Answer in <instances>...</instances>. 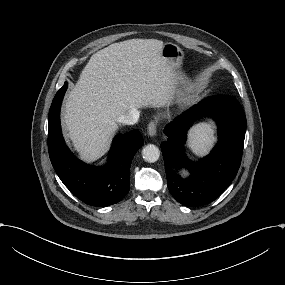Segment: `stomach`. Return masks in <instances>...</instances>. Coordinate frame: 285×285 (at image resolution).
Segmentation results:
<instances>
[{
	"mask_svg": "<svg viewBox=\"0 0 285 285\" xmlns=\"http://www.w3.org/2000/svg\"><path fill=\"white\" fill-rule=\"evenodd\" d=\"M162 57L173 67L177 74L176 101L182 108L191 105L194 101L193 85L181 70L184 52L174 43L166 42L163 46Z\"/></svg>",
	"mask_w": 285,
	"mask_h": 285,
	"instance_id": "1",
	"label": "stomach"
}]
</instances>
